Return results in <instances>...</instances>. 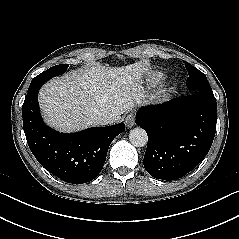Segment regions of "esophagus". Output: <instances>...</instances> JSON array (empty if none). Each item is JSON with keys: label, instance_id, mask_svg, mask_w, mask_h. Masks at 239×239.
Instances as JSON below:
<instances>
[{"label": "esophagus", "instance_id": "obj_1", "mask_svg": "<svg viewBox=\"0 0 239 239\" xmlns=\"http://www.w3.org/2000/svg\"><path fill=\"white\" fill-rule=\"evenodd\" d=\"M125 125L127 128H132L135 125V116L133 113H130L126 116Z\"/></svg>", "mask_w": 239, "mask_h": 239}]
</instances>
